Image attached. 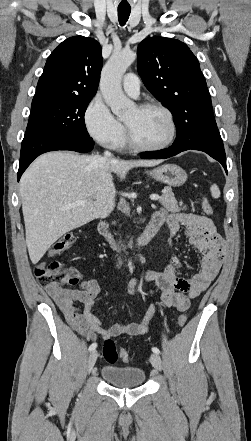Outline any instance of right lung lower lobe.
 I'll list each match as a JSON object with an SVG mask.
<instances>
[{
	"label": "right lung lower lobe",
	"instance_id": "right-lung-lower-lobe-1",
	"mask_svg": "<svg viewBox=\"0 0 251 441\" xmlns=\"http://www.w3.org/2000/svg\"><path fill=\"white\" fill-rule=\"evenodd\" d=\"M93 147L92 138H72L40 127H27L21 145L18 181L30 163L45 152L72 150L84 153L91 151Z\"/></svg>",
	"mask_w": 251,
	"mask_h": 441
}]
</instances>
